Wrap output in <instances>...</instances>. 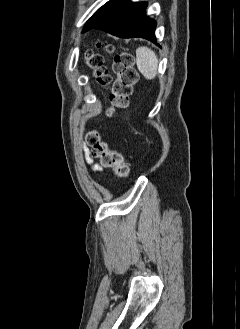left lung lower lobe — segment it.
Listing matches in <instances>:
<instances>
[{"mask_svg":"<svg viewBox=\"0 0 240 329\" xmlns=\"http://www.w3.org/2000/svg\"><path fill=\"white\" fill-rule=\"evenodd\" d=\"M146 2L131 3L122 0L93 28L104 30L118 37H141L156 43V22L145 17Z\"/></svg>","mask_w":240,"mask_h":329,"instance_id":"0a47b994","label":"left lung lower lobe"}]
</instances>
